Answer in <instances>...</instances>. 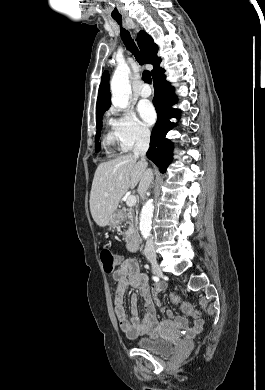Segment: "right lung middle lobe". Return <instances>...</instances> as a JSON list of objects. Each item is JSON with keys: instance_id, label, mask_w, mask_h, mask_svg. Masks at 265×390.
I'll use <instances>...</instances> for the list:
<instances>
[{"instance_id": "right-lung-middle-lobe-1", "label": "right lung middle lobe", "mask_w": 265, "mask_h": 390, "mask_svg": "<svg viewBox=\"0 0 265 390\" xmlns=\"http://www.w3.org/2000/svg\"><path fill=\"white\" fill-rule=\"evenodd\" d=\"M102 117L96 119L97 123V132H96V137H95V152H99L101 150V144L99 143V137L101 134V128H102Z\"/></svg>"}]
</instances>
